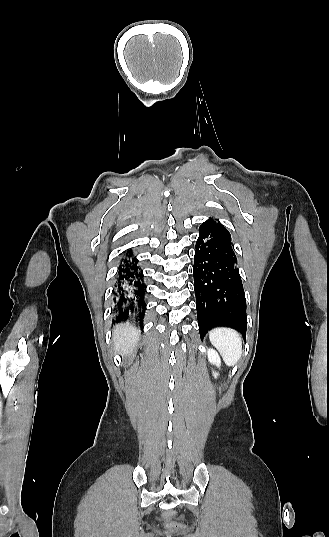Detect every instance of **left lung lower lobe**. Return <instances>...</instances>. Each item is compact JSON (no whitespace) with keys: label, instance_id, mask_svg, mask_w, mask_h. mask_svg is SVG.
<instances>
[{"label":"left lung lower lobe","instance_id":"obj_1","mask_svg":"<svg viewBox=\"0 0 329 537\" xmlns=\"http://www.w3.org/2000/svg\"><path fill=\"white\" fill-rule=\"evenodd\" d=\"M231 236L204 222L194 255V291L201 339L215 327H231L246 337V299Z\"/></svg>","mask_w":329,"mask_h":537}]
</instances>
